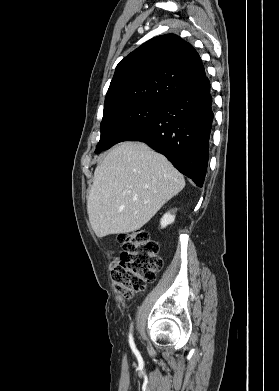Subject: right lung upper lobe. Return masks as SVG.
Returning <instances> with one entry per match:
<instances>
[{
	"label": "right lung upper lobe",
	"instance_id": "obj_1",
	"mask_svg": "<svg viewBox=\"0 0 279 391\" xmlns=\"http://www.w3.org/2000/svg\"><path fill=\"white\" fill-rule=\"evenodd\" d=\"M206 77L193 46L175 34L155 37L116 67L104 113L140 102L165 103Z\"/></svg>",
	"mask_w": 279,
	"mask_h": 391
}]
</instances>
